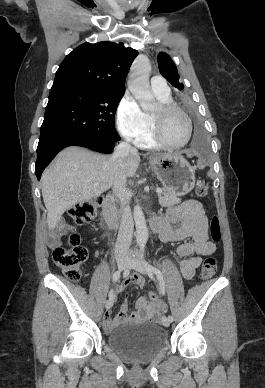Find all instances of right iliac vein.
<instances>
[{
    "label": "right iliac vein",
    "instance_id": "right-iliac-vein-1",
    "mask_svg": "<svg viewBox=\"0 0 265 388\" xmlns=\"http://www.w3.org/2000/svg\"><path fill=\"white\" fill-rule=\"evenodd\" d=\"M116 262L119 270H124L128 264V260L124 256H118L116 258ZM112 305H113V300L109 299L105 303V308L108 310L112 307Z\"/></svg>",
    "mask_w": 265,
    "mask_h": 388
}]
</instances>
